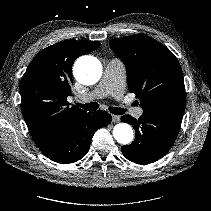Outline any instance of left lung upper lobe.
Returning <instances> with one entry per match:
<instances>
[{
	"label": "left lung upper lobe",
	"mask_w": 211,
	"mask_h": 211,
	"mask_svg": "<svg viewBox=\"0 0 211 211\" xmlns=\"http://www.w3.org/2000/svg\"><path fill=\"white\" fill-rule=\"evenodd\" d=\"M110 46L126 66L128 89L143 113H184L183 72L167 47L142 34L111 39Z\"/></svg>",
	"instance_id": "5c2ea615"
}]
</instances>
